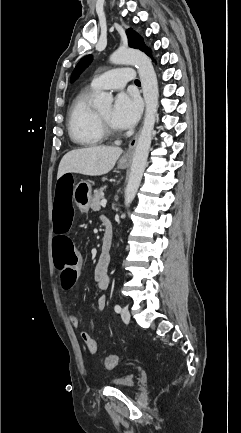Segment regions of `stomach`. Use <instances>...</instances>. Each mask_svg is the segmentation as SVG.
<instances>
[{"instance_id": "0dacf381", "label": "stomach", "mask_w": 241, "mask_h": 433, "mask_svg": "<svg viewBox=\"0 0 241 433\" xmlns=\"http://www.w3.org/2000/svg\"><path fill=\"white\" fill-rule=\"evenodd\" d=\"M128 166H129V162L123 160H120L118 163V168L120 169H125ZM72 201L80 211L82 212L87 211L92 202L90 183L86 181H81L78 184L74 185Z\"/></svg>"}]
</instances>
